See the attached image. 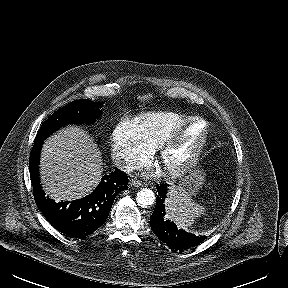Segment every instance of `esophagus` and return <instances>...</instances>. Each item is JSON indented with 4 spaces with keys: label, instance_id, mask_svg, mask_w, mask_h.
<instances>
[{
    "label": "esophagus",
    "instance_id": "34e87169",
    "mask_svg": "<svg viewBox=\"0 0 288 288\" xmlns=\"http://www.w3.org/2000/svg\"><path fill=\"white\" fill-rule=\"evenodd\" d=\"M129 185L131 187H139V186H141V182L139 180H136V179H131L129 182Z\"/></svg>",
    "mask_w": 288,
    "mask_h": 288
}]
</instances>
